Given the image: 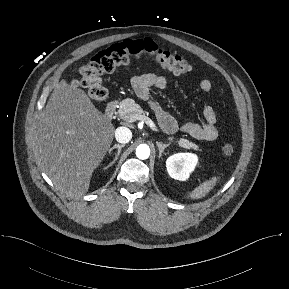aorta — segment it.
Instances as JSON below:
<instances>
[{
  "instance_id": "obj_1",
  "label": "aorta",
  "mask_w": 289,
  "mask_h": 289,
  "mask_svg": "<svg viewBox=\"0 0 289 289\" xmlns=\"http://www.w3.org/2000/svg\"><path fill=\"white\" fill-rule=\"evenodd\" d=\"M136 156L139 159L145 160L150 156V148L148 145L146 144H140L137 148H136Z\"/></svg>"
}]
</instances>
